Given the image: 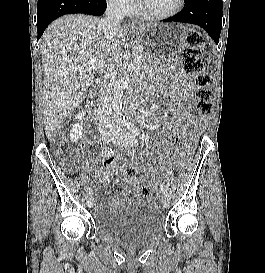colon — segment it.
<instances>
[{
  "label": "colon",
  "mask_w": 265,
  "mask_h": 273,
  "mask_svg": "<svg viewBox=\"0 0 265 273\" xmlns=\"http://www.w3.org/2000/svg\"><path fill=\"white\" fill-rule=\"evenodd\" d=\"M204 47L203 37L197 31H191L187 35V44L181 51V60L185 72L194 75L195 84L197 87L196 97L198 99L197 110L201 114H209L212 110L211 104V77L204 71L203 63L200 58L202 49ZM63 130H57L53 132L51 138L54 142H60L62 139ZM63 152V150H62ZM78 163V156L72 153L66 159V165L75 169ZM128 176H134L136 169L132 166H128L125 169ZM146 194L153 196L157 195V190L151 184H146L143 187Z\"/></svg>",
  "instance_id": "obj_1"
}]
</instances>
